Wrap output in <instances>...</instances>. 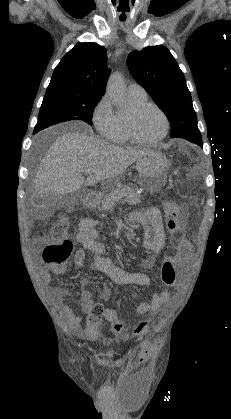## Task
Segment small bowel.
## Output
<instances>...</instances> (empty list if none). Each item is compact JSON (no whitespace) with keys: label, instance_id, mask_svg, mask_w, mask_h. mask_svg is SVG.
<instances>
[{"label":"small bowel","instance_id":"small-bowel-1","mask_svg":"<svg viewBox=\"0 0 231 419\" xmlns=\"http://www.w3.org/2000/svg\"><path fill=\"white\" fill-rule=\"evenodd\" d=\"M130 220L139 223L143 228V247L150 253L146 260V266L152 267L155 262L156 255L160 252L165 244V231L159 209L150 207L139 210L131 214ZM98 222L90 217H84L80 220L79 231L76 235L77 242L81 245L74 254V264L80 268L84 265L86 259V251L92 254V266L104 272L115 284L120 286L136 285L146 287L150 285V279L147 274L142 272H130L118 267L113 261L105 256L106 245L101 240L98 232ZM191 252V245L188 239L182 236L178 242L175 259L176 264L184 263ZM52 270L59 272L62 268L52 267ZM42 280L50 283L51 275L48 269L41 271ZM85 283H83V286ZM54 301L60 305L64 316L67 318L70 332L80 338L95 339L100 330V320L91 316L90 310L94 305L92 293L86 289L82 290L80 305L84 312L88 315L85 328H81V318L70 307L63 305L61 298L65 291L61 288L53 290ZM103 298L108 299L110 292L105 289L102 294ZM171 294L169 291L155 292L149 302H144L136 308V315L148 316L158 315L163 311V306L170 303ZM104 317L113 322L119 319L118 313L113 309L104 310Z\"/></svg>","mask_w":231,"mask_h":419}]
</instances>
